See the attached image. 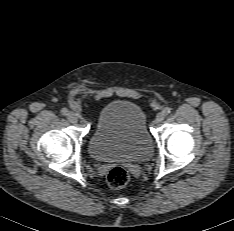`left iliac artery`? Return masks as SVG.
<instances>
[{
  "instance_id": "44dca946",
  "label": "left iliac artery",
  "mask_w": 234,
  "mask_h": 231,
  "mask_svg": "<svg viewBox=\"0 0 234 231\" xmlns=\"http://www.w3.org/2000/svg\"><path fill=\"white\" fill-rule=\"evenodd\" d=\"M163 112H164L165 115H168V114L171 113V109H170L169 107H165V108L163 109Z\"/></svg>"
}]
</instances>
